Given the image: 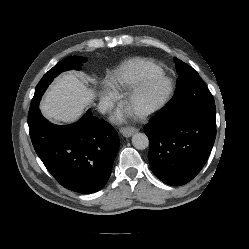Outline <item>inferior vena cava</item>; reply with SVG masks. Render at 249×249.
<instances>
[{
	"instance_id": "obj_1",
	"label": "inferior vena cava",
	"mask_w": 249,
	"mask_h": 249,
	"mask_svg": "<svg viewBox=\"0 0 249 249\" xmlns=\"http://www.w3.org/2000/svg\"><path fill=\"white\" fill-rule=\"evenodd\" d=\"M112 102L108 101V100H104L99 102L98 104V110L101 113H106L107 111H109L112 108Z\"/></svg>"
}]
</instances>
